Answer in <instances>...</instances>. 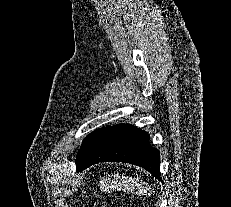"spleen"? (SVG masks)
<instances>
[{
  "mask_svg": "<svg viewBox=\"0 0 231 207\" xmlns=\"http://www.w3.org/2000/svg\"><path fill=\"white\" fill-rule=\"evenodd\" d=\"M108 187L112 190L121 189L136 195L147 193V191L151 192V187L143 184L139 179L120 176L109 181Z\"/></svg>",
  "mask_w": 231,
  "mask_h": 207,
  "instance_id": "1",
  "label": "spleen"
}]
</instances>
